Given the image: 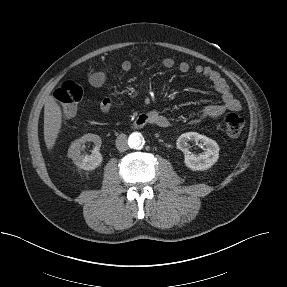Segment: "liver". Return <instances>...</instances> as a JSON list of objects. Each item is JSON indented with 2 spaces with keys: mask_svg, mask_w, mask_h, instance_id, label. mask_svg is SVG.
<instances>
[{
  "mask_svg": "<svg viewBox=\"0 0 287 287\" xmlns=\"http://www.w3.org/2000/svg\"><path fill=\"white\" fill-rule=\"evenodd\" d=\"M62 111L53 96H48L44 106V140L50 151L61 129Z\"/></svg>",
  "mask_w": 287,
  "mask_h": 287,
  "instance_id": "1",
  "label": "liver"
}]
</instances>
